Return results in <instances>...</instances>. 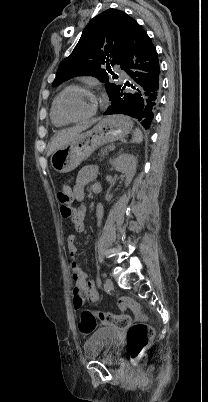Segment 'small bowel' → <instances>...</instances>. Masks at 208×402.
I'll return each mask as SVG.
<instances>
[{
	"label": "small bowel",
	"mask_w": 208,
	"mask_h": 402,
	"mask_svg": "<svg viewBox=\"0 0 208 402\" xmlns=\"http://www.w3.org/2000/svg\"><path fill=\"white\" fill-rule=\"evenodd\" d=\"M97 170L94 166H86L83 167L76 176L75 185L73 188L74 197L77 201H83L85 197V186L95 180ZM97 186V185H95ZM95 188V187H94ZM86 213V208L84 205H80L76 209L77 219L74 222L75 228L79 232L84 231V223L83 219ZM103 214L102 207H99L97 210V217L100 219ZM67 245L69 250V255L74 258L77 255V249L75 246V237L74 235H69L67 239ZM73 277H74V287H73V295H74V304L75 306H81L84 300H88L90 302H98L100 299V295L94 281H87L85 274L81 271V269L77 266L76 263L72 264Z\"/></svg>",
	"instance_id": "1"
}]
</instances>
